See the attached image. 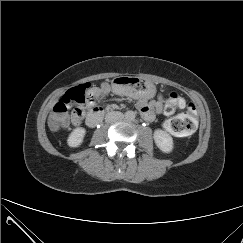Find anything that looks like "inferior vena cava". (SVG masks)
<instances>
[{
    "label": "inferior vena cava",
    "instance_id": "inferior-vena-cava-1",
    "mask_svg": "<svg viewBox=\"0 0 243 243\" xmlns=\"http://www.w3.org/2000/svg\"><path fill=\"white\" fill-rule=\"evenodd\" d=\"M123 114L121 113H108L105 117L106 122L111 123L116 119L122 118Z\"/></svg>",
    "mask_w": 243,
    "mask_h": 243
}]
</instances>
